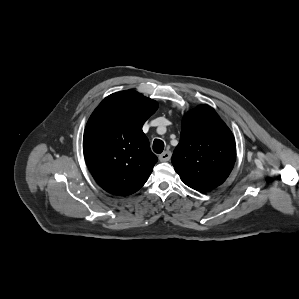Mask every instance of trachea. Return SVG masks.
I'll return each instance as SVG.
<instances>
[{
    "label": "trachea",
    "mask_w": 299,
    "mask_h": 299,
    "mask_svg": "<svg viewBox=\"0 0 299 299\" xmlns=\"http://www.w3.org/2000/svg\"><path fill=\"white\" fill-rule=\"evenodd\" d=\"M164 150V142L160 139H155L153 142V151L157 154L162 153Z\"/></svg>",
    "instance_id": "trachea-1"
}]
</instances>
